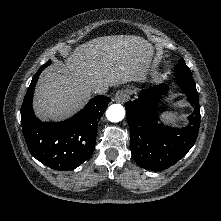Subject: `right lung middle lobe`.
I'll return each instance as SVG.
<instances>
[{"instance_id": "dd1d6c3e", "label": "right lung middle lobe", "mask_w": 221, "mask_h": 221, "mask_svg": "<svg viewBox=\"0 0 221 221\" xmlns=\"http://www.w3.org/2000/svg\"><path fill=\"white\" fill-rule=\"evenodd\" d=\"M50 64H51V61H48L47 63L43 64L39 70L42 71L45 67H47Z\"/></svg>"}]
</instances>
